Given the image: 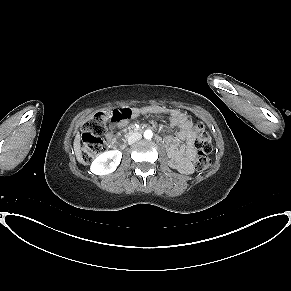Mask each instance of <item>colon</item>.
<instances>
[{"instance_id": "colon-1", "label": "colon", "mask_w": 291, "mask_h": 291, "mask_svg": "<svg viewBox=\"0 0 291 291\" xmlns=\"http://www.w3.org/2000/svg\"><path fill=\"white\" fill-rule=\"evenodd\" d=\"M131 112L129 108L102 111L96 113L85 123L81 151V159L84 164H90L97 155L106 149L101 135L107 129L108 124L122 119H129ZM196 128L198 130L197 146L199 151L194 166L197 171H203L210 166L209 154L212 151V140L202 123H198Z\"/></svg>"}]
</instances>
